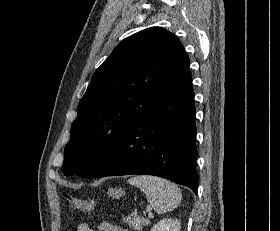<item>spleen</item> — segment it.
I'll list each match as a JSON object with an SVG mask.
<instances>
[{
  "label": "spleen",
  "instance_id": "3e777b00",
  "mask_svg": "<svg viewBox=\"0 0 280 231\" xmlns=\"http://www.w3.org/2000/svg\"><path fill=\"white\" fill-rule=\"evenodd\" d=\"M128 183L137 185L141 191L146 193L149 203L157 213L172 211L178 207L182 199L181 189L177 187L176 183L156 177V175H136V177H130Z\"/></svg>",
  "mask_w": 280,
  "mask_h": 231
}]
</instances>
